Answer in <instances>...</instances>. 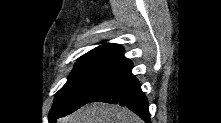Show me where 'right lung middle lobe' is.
I'll return each mask as SVG.
<instances>
[{
    "label": "right lung middle lobe",
    "mask_w": 221,
    "mask_h": 123,
    "mask_svg": "<svg viewBox=\"0 0 221 123\" xmlns=\"http://www.w3.org/2000/svg\"><path fill=\"white\" fill-rule=\"evenodd\" d=\"M129 61L111 52L90 51L82 55L57 92L51 112L67 115L85 105L97 86Z\"/></svg>",
    "instance_id": "1"
}]
</instances>
